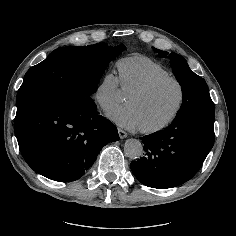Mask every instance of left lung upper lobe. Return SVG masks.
<instances>
[{"instance_id":"left-lung-upper-lobe-1","label":"left lung upper lobe","mask_w":236,"mask_h":236,"mask_svg":"<svg viewBox=\"0 0 236 236\" xmlns=\"http://www.w3.org/2000/svg\"><path fill=\"white\" fill-rule=\"evenodd\" d=\"M153 49L161 57H169L173 73L182 87V105L174 120L187 116L215 117V106L205 80L195 74L180 55L173 52L168 55L165 51Z\"/></svg>"}]
</instances>
